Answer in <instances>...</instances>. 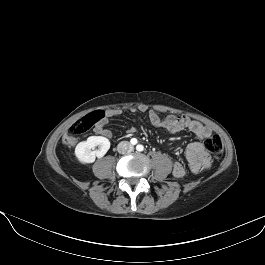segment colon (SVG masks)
<instances>
[{"label": "colon", "mask_w": 265, "mask_h": 265, "mask_svg": "<svg viewBox=\"0 0 265 265\" xmlns=\"http://www.w3.org/2000/svg\"><path fill=\"white\" fill-rule=\"evenodd\" d=\"M104 117L103 111H92L83 117L79 118L68 130L67 135L64 137V143L67 145H74L77 138L92 127H94ZM160 118L157 113L153 115V119ZM206 150L211 156L220 158L224 153V146L221 138L218 135L209 136L204 143Z\"/></svg>", "instance_id": "colon-1"}]
</instances>
